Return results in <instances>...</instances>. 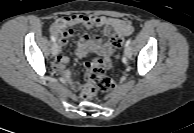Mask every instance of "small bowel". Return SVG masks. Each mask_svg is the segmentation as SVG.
<instances>
[{"mask_svg": "<svg viewBox=\"0 0 194 133\" xmlns=\"http://www.w3.org/2000/svg\"><path fill=\"white\" fill-rule=\"evenodd\" d=\"M65 19L67 26L69 27L81 24L86 28H101L104 36H109L112 31L127 36L133 31V26L128 21L119 18L75 14ZM51 32L56 36L61 46H66L68 39L73 36V31L71 29L60 30L56 24L51 27ZM113 49L114 47L111 42H103L99 35L90 38L88 34H83L78 43V53L80 55H87L90 51H94L103 56V66L105 68H110L112 65L111 54ZM67 62V56L62 55L55 60L54 66L62 72L63 76L69 81L71 87L77 89L78 84L71 79L69 71L65 69Z\"/></svg>", "mask_w": 194, "mask_h": 133, "instance_id": "c3829d8e", "label": "small bowel"}]
</instances>
